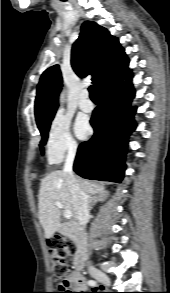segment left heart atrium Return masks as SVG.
<instances>
[{
    "mask_svg": "<svg viewBox=\"0 0 170 293\" xmlns=\"http://www.w3.org/2000/svg\"><path fill=\"white\" fill-rule=\"evenodd\" d=\"M75 132H76L77 136L81 139L88 136V134L90 133V126H89L86 119H84V118L77 119V121L75 123Z\"/></svg>",
    "mask_w": 170,
    "mask_h": 293,
    "instance_id": "left-heart-atrium-1",
    "label": "left heart atrium"
}]
</instances>
